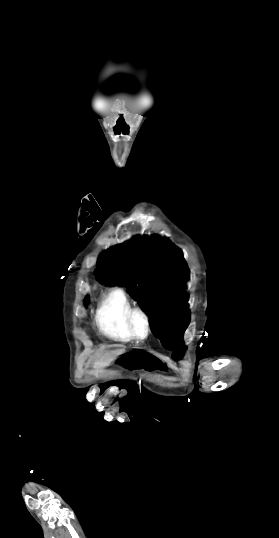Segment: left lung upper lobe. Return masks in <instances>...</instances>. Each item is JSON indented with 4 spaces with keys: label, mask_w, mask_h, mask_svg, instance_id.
<instances>
[{
    "label": "left lung upper lobe",
    "mask_w": 279,
    "mask_h": 538,
    "mask_svg": "<svg viewBox=\"0 0 279 538\" xmlns=\"http://www.w3.org/2000/svg\"><path fill=\"white\" fill-rule=\"evenodd\" d=\"M94 274L106 285H127V292L149 314L155 336H183L190 322L188 268L177 246L157 237H134L104 251Z\"/></svg>",
    "instance_id": "left-lung-upper-lobe-1"
}]
</instances>
